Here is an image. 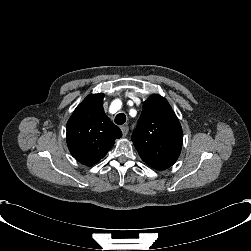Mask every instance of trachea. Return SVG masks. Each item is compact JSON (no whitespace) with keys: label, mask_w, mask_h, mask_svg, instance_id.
<instances>
[{"label":"trachea","mask_w":251,"mask_h":251,"mask_svg":"<svg viewBox=\"0 0 251 251\" xmlns=\"http://www.w3.org/2000/svg\"><path fill=\"white\" fill-rule=\"evenodd\" d=\"M115 123L118 125H122L126 122V115L124 113H119L115 117Z\"/></svg>","instance_id":"3493384b"}]
</instances>
